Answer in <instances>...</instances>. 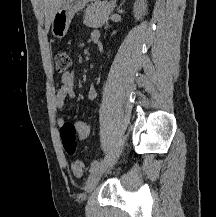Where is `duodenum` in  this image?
I'll list each match as a JSON object with an SVG mask.
<instances>
[{
	"label": "duodenum",
	"mask_w": 216,
	"mask_h": 217,
	"mask_svg": "<svg viewBox=\"0 0 216 217\" xmlns=\"http://www.w3.org/2000/svg\"><path fill=\"white\" fill-rule=\"evenodd\" d=\"M99 40H100L99 37H95V38H94V41H95V42H98Z\"/></svg>",
	"instance_id": "duodenum-1"
}]
</instances>
